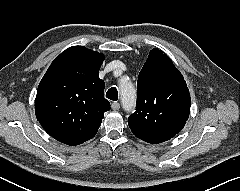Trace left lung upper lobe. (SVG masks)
I'll return each instance as SVG.
<instances>
[{"label":"left lung upper lobe","instance_id":"obj_1","mask_svg":"<svg viewBox=\"0 0 240 191\" xmlns=\"http://www.w3.org/2000/svg\"><path fill=\"white\" fill-rule=\"evenodd\" d=\"M190 103L187 84L172 60L151 50L139 73L136 111L128 118L133 134L152 144L171 139L185 126Z\"/></svg>","mask_w":240,"mask_h":191}]
</instances>
